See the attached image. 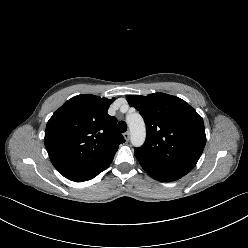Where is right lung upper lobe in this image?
I'll list each match as a JSON object with an SVG mask.
<instances>
[{
  "label": "right lung upper lobe",
  "instance_id": "cb5924a9",
  "mask_svg": "<svg viewBox=\"0 0 248 248\" xmlns=\"http://www.w3.org/2000/svg\"><path fill=\"white\" fill-rule=\"evenodd\" d=\"M114 99L78 95L66 101L49 119L44 143L58 169L90 168L114 158L124 137L117 120L107 114Z\"/></svg>",
  "mask_w": 248,
  "mask_h": 248
}]
</instances>
